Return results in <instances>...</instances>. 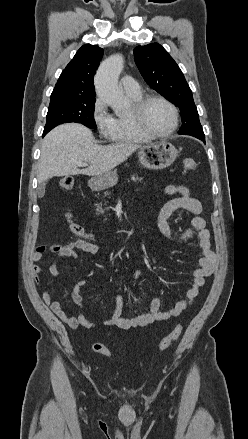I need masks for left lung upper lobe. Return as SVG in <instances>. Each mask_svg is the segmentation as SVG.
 Listing matches in <instances>:
<instances>
[{
    "mask_svg": "<svg viewBox=\"0 0 248 439\" xmlns=\"http://www.w3.org/2000/svg\"><path fill=\"white\" fill-rule=\"evenodd\" d=\"M134 54L147 84L179 107L182 118L179 134L191 135L205 142L192 91L173 58L158 43L137 46Z\"/></svg>",
    "mask_w": 248,
    "mask_h": 439,
    "instance_id": "obj_1",
    "label": "left lung upper lobe"
}]
</instances>
